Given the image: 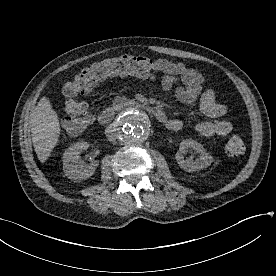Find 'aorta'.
I'll list each match as a JSON object with an SVG mask.
<instances>
[{"label":"aorta","mask_w":276,"mask_h":276,"mask_svg":"<svg viewBox=\"0 0 276 276\" xmlns=\"http://www.w3.org/2000/svg\"><path fill=\"white\" fill-rule=\"evenodd\" d=\"M148 132V117L142 110L131 108L119 117L117 133L122 143L139 144L146 139Z\"/></svg>","instance_id":"obj_1"}]
</instances>
